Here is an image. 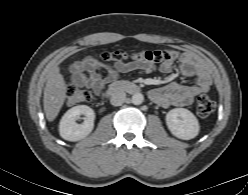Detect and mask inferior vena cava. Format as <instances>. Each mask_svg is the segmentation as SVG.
<instances>
[{
  "label": "inferior vena cava",
  "instance_id": "602c4592",
  "mask_svg": "<svg viewBox=\"0 0 248 195\" xmlns=\"http://www.w3.org/2000/svg\"><path fill=\"white\" fill-rule=\"evenodd\" d=\"M126 100V93L122 90H116L112 93L110 103L113 106H120L122 105Z\"/></svg>",
  "mask_w": 248,
  "mask_h": 195
}]
</instances>
